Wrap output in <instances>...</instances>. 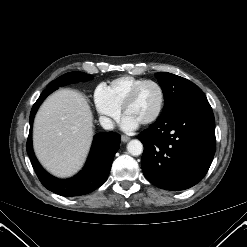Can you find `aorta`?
<instances>
[{
  "instance_id": "obj_1",
  "label": "aorta",
  "mask_w": 247,
  "mask_h": 247,
  "mask_svg": "<svg viewBox=\"0 0 247 247\" xmlns=\"http://www.w3.org/2000/svg\"><path fill=\"white\" fill-rule=\"evenodd\" d=\"M127 151L133 156H138L143 152V145L139 140L136 139L131 140L127 144Z\"/></svg>"
}]
</instances>
